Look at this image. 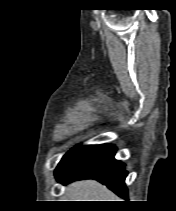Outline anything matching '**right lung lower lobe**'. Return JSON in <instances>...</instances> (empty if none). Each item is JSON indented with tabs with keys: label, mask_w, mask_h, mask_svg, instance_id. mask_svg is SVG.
Returning a JSON list of instances; mask_svg holds the SVG:
<instances>
[{
	"label": "right lung lower lobe",
	"mask_w": 176,
	"mask_h": 211,
	"mask_svg": "<svg viewBox=\"0 0 176 211\" xmlns=\"http://www.w3.org/2000/svg\"><path fill=\"white\" fill-rule=\"evenodd\" d=\"M112 145L76 146L66 153L55 170L57 181L67 184L74 180L92 178L107 185L123 198H128L124 164L114 158Z\"/></svg>",
	"instance_id": "1"
}]
</instances>
